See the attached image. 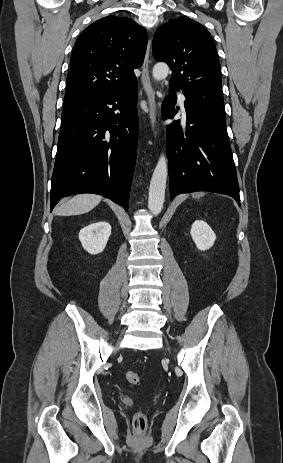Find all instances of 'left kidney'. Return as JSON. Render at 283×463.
Here are the masks:
<instances>
[{
	"label": "left kidney",
	"mask_w": 283,
	"mask_h": 463,
	"mask_svg": "<svg viewBox=\"0 0 283 463\" xmlns=\"http://www.w3.org/2000/svg\"><path fill=\"white\" fill-rule=\"evenodd\" d=\"M190 234L197 248L201 251L211 248L216 240L214 231L203 220H196L192 224Z\"/></svg>",
	"instance_id": "1"
}]
</instances>
